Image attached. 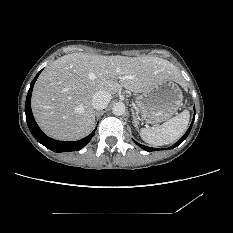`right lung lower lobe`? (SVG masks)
Segmentation results:
<instances>
[{
	"mask_svg": "<svg viewBox=\"0 0 233 233\" xmlns=\"http://www.w3.org/2000/svg\"><path fill=\"white\" fill-rule=\"evenodd\" d=\"M41 71H39V73L36 75V77L31 82L30 89L28 91L27 98H26L25 114H26V121H27L29 130L34 136V138L39 143H41L42 145H44L45 147L49 148L50 150L54 152L59 153V152H64V151L68 152V151L80 150L91 140L96 129L90 135L78 141H58V140H54L46 136L41 131V129L39 128V126L37 125L33 117L32 110H31V94H32L33 86L39 74L41 73Z\"/></svg>",
	"mask_w": 233,
	"mask_h": 233,
	"instance_id": "obj_1",
	"label": "right lung lower lobe"
}]
</instances>
